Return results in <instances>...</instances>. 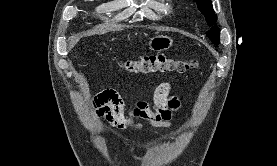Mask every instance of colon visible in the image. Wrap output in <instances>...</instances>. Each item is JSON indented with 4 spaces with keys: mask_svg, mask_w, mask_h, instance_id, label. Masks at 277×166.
I'll return each instance as SVG.
<instances>
[{
    "mask_svg": "<svg viewBox=\"0 0 277 166\" xmlns=\"http://www.w3.org/2000/svg\"><path fill=\"white\" fill-rule=\"evenodd\" d=\"M122 66L125 70L138 74H156L173 71L182 73L194 68L196 63L192 60H175L162 54H156L126 60Z\"/></svg>",
    "mask_w": 277,
    "mask_h": 166,
    "instance_id": "obj_1",
    "label": "colon"
}]
</instances>
